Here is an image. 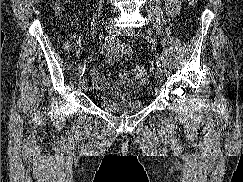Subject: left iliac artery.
<instances>
[{"instance_id":"44dca946","label":"left iliac artery","mask_w":243,"mask_h":182,"mask_svg":"<svg viewBox=\"0 0 243 182\" xmlns=\"http://www.w3.org/2000/svg\"><path fill=\"white\" fill-rule=\"evenodd\" d=\"M137 35L142 37V38H144V39H146L150 44H152V47H153V40H152V38L149 35H145L143 33H138ZM156 58H157V60H156L157 67L160 68L161 64H160L158 56H156Z\"/></svg>"}]
</instances>
